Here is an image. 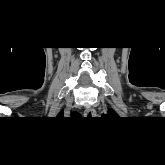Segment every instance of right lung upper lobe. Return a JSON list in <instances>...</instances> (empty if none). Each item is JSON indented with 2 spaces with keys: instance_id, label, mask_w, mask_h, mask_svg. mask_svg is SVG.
<instances>
[{
  "instance_id": "cb5924a9",
  "label": "right lung upper lobe",
  "mask_w": 165,
  "mask_h": 165,
  "mask_svg": "<svg viewBox=\"0 0 165 165\" xmlns=\"http://www.w3.org/2000/svg\"><path fill=\"white\" fill-rule=\"evenodd\" d=\"M62 115H63V112H60L59 115H58V117H59V116H62Z\"/></svg>"
}]
</instances>
